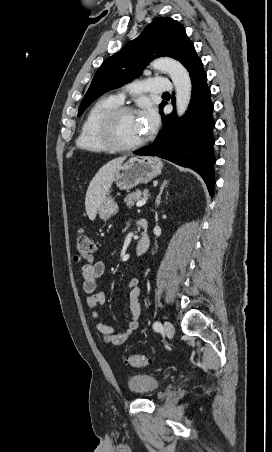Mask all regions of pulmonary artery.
<instances>
[{
    "instance_id": "1",
    "label": "pulmonary artery",
    "mask_w": 272,
    "mask_h": 452,
    "mask_svg": "<svg viewBox=\"0 0 272 452\" xmlns=\"http://www.w3.org/2000/svg\"><path fill=\"white\" fill-rule=\"evenodd\" d=\"M173 89L172 83L167 78L152 77L142 83H135L127 87L131 92L145 91L150 94H161ZM115 99L122 103L124 100V92L120 91L114 95Z\"/></svg>"
}]
</instances>
